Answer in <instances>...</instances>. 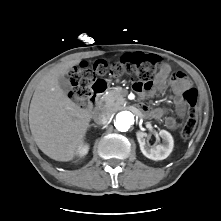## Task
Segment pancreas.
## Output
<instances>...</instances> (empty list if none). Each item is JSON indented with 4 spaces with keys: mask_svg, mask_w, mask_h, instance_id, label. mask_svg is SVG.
Masks as SVG:
<instances>
[{
    "mask_svg": "<svg viewBox=\"0 0 221 221\" xmlns=\"http://www.w3.org/2000/svg\"><path fill=\"white\" fill-rule=\"evenodd\" d=\"M126 92L120 87H115L101 97V105L104 108H115L122 105L125 101Z\"/></svg>",
    "mask_w": 221,
    "mask_h": 221,
    "instance_id": "cf45deb5",
    "label": "pancreas"
}]
</instances>
